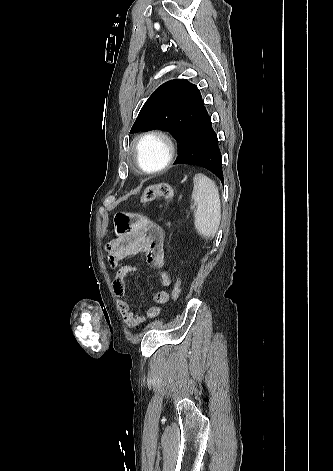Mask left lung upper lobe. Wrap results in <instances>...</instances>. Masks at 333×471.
Listing matches in <instances>:
<instances>
[{
	"label": "left lung upper lobe",
	"mask_w": 333,
	"mask_h": 471,
	"mask_svg": "<svg viewBox=\"0 0 333 471\" xmlns=\"http://www.w3.org/2000/svg\"><path fill=\"white\" fill-rule=\"evenodd\" d=\"M201 93L186 79H174L157 88L143 105L130 133L163 129L179 143V153L206 114Z\"/></svg>",
	"instance_id": "obj_1"
}]
</instances>
